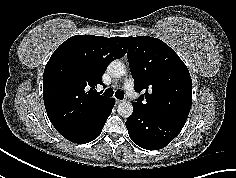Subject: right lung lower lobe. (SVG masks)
I'll return each instance as SVG.
<instances>
[{
  "label": "right lung lower lobe",
  "instance_id": "98d812e1",
  "mask_svg": "<svg viewBox=\"0 0 236 178\" xmlns=\"http://www.w3.org/2000/svg\"><path fill=\"white\" fill-rule=\"evenodd\" d=\"M114 105H115V100L113 99L109 108L107 109L106 113L104 114L103 118L100 120V122L96 126L92 127L90 130H88L84 133L66 137V139H68L71 142L79 143V144L88 143V142L96 139L100 135V133L102 132L104 124H105L108 116L111 114V111H112V108L114 107Z\"/></svg>",
  "mask_w": 236,
  "mask_h": 178
}]
</instances>
